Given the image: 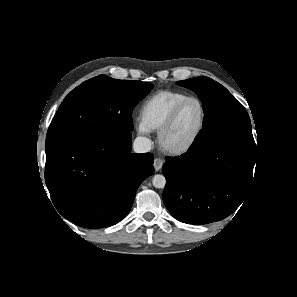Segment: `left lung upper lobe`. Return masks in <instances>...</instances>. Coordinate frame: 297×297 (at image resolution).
<instances>
[{
    "label": "left lung upper lobe",
    "mask_w": 297,
    "mask_h": 297,
    "mask_svg": "<svg viewBox=\"0 0 297 297\" xmlns=\"http://www.w3.org/2000/svg\"><path fill=\"white\" fill-rule=\"evenodd\" d=\"M176 83L194 91L204 110L203 129L191 148L215 142H234L256 148L248 113L225 87L205 76Z\"/></svg>",
    "instance_id": "1"
}]
</instances>
